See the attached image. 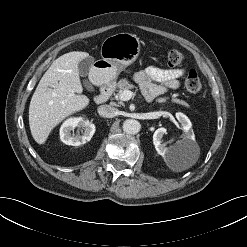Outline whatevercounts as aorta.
<instances>
[{"mask_svg":"<svg viewBox=\"0 0 247 247\" xmlns=\"http://www.w3.org/2000/svg\"><path fill=\"white\" fill-rule=\"evenodd\" d=\"M141 129V125L137 120L127 119L123 123V131L127 134H137Z\"/></svg>","mask_w":247,"mask_h":247,"instance_id":"aorta-1","label":"aorta"}]
</instances>
